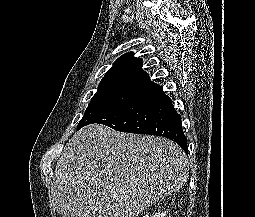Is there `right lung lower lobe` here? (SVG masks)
<instances>
[{
	"instance_id": "98d812e1",
	"label": "right lung lower lobe",
	"mask_w": 255,
	"mask_h": 217,
	"mask_svg": "<svg viewBox=\"0 0 255 217\" xmlns=\"http://www.w3.org/2000/svg\"><path fill=\"white\" fill-rule=\"evenodd\" d=\"M92 123L104 124L121 132L163 136L188 152L181 116L162 87L155 83L125 104L99 115L89 124Z\"/></svg>"
}]
</instances>
